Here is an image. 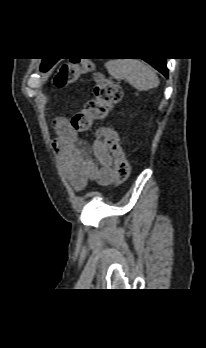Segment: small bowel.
Segmentation results:
<instances>
[{
	"label": "small bowel",
	"instance_id": "small-bowel-1",
	"mask_svg": "<svg viewBox=\"0 0 206 348\" xmlns=\"http://www.w3.org/2000/svg\"><path fill=\"white\" fill-rule=\"evenodd\" d=\"M53 128L56 133L53 147L62 174L75 190H84L88 181H97L101 185H109L115 181L113 160L102 141L95 140L92 144L96 159L94 162L87 157L86 149L78 145L76 132L66 118L55 119Z\"/></svg>",
	"mask_w": 206,
	"mask_h": 348
}]
</instances>
